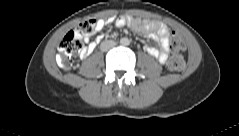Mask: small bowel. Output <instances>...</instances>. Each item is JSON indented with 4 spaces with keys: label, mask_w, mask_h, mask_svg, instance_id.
Here are the masks:
<instances>
[{
    "label": "small bowel",
    "mask_w": 239,
    "mask_h": 136,
    "mask_svg": "<svg viewBox=\"0 0 239 136\" xmlns=\"http://www.w3.org/2000/svg\"><path fill=\"white\" fill-rule=\"evenodd\" d=\"M109 20L108 22H110ZM97 30H102L106 25V21L100 19L97 21ZM129 25V27L154 41L159 45L158 48L152 46H145V50L153 57H155L161 64H165L169 55V29L168 27L156 21L142 20L138 18H132L129 16H120L115 20V26L117 28ZM102 36H98L94 41H91L89 37H84L83 41L86 46L81 51V57L85 58L91 54L96 48Z\"/></svg>",
    "instance_id": "1"
}]
</instances>
